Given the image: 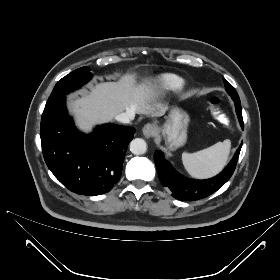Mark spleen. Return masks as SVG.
Instances as JSON below:
<instances>
[{
    "mask_svg": "<svg viewBox=\"0 0 280 280\" xmlns=\"http://www.w3.org/2000/svg\"><path fill=\"white\" fill-rule=\"evenodd\" d=\"M231 148L229 139L194 152H184L182 162L186 171L194 178L206 179L217 175L225 167Z\"/></svg>",
    "mask_w": 280,
    "mask_h": 280,
    "instance_id": "obj_1",
    "label": "spleen"
}]
</instances>
